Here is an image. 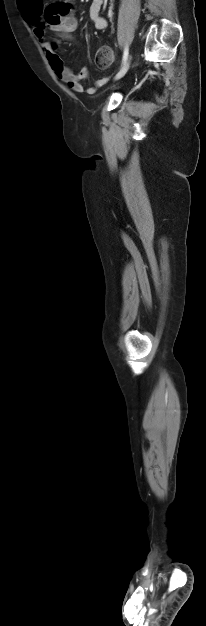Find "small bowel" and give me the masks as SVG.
<instances>
[{
  "instance_id": "obj_1",
  "label": "small bowel",
  "mask_w": 206,
  "mask_h": 626,
  "mask_svg": "<svg viewBox=\"0 0 206 626\" xmlns=\"http://www.w3.org/2000/svg\"><path fill=\"white\" fill-rule=\"evenodd\" d=\"M104 0H92L89 7V16L96 29H105L108 25L106 19L100 16V9ZM27 20L33 25L34 34L41 42L47 60L56 73L74 92L93 94L107 82L103 78L94 82L90 87L85 88L82 81L88 78L89 71L82 67L74 73L65 65L61 57L56 52V42L63 40H73V33L78 27L75 16V6L72 0L53 2L44 5L42 1L36 2L30 11L26 12ZM54 35V41L47 40V32Z\"/></svg>"
}]
</instances>
